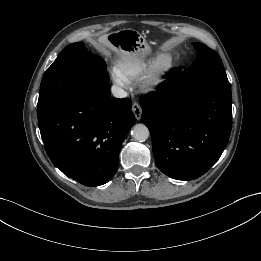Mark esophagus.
Returning a JSON list of instances; mask_svg holds the SVG:
<instances>
[{"label": "esophagus", "instance_id": "34e87169", "mask_svg": "<svg viewBox=\"0 0 261 261\" xmlns=\"http://www.w3.org/2000/svg\"><path fill=\"white\" fill-rule=\"evenodd\" d=\"M132 111L134 113V116L137 120L141 119V115H142V109L140 107V105L137 102H134L132 104Z\"/></svg>", "mask_w": 261, "mask_h": 261}]
</instances>
